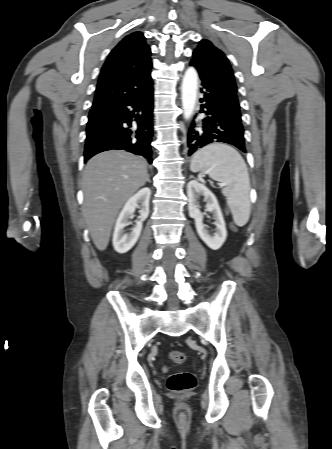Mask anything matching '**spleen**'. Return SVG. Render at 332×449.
Here are the masks:
<instances>
[{
	"mask_svg": "<svg viewBox=\"0 0 332 449\" xmlns=\"http://www.w3.org/2000/svg\"><path fill=\"white\" fill-rule=\"evenodd\" d=\"M190 169L205 171L215 181L226 185L222 194L226 197L233 220L244 226L251 213L250 178L244 159L232 147L213 143L198 150L192 157Z\"/></svg>",
	"mask_w": 332,
	"mask_h": 449,
	"instance_id": "1",
	"label": "spleen"
}]
</instances>
